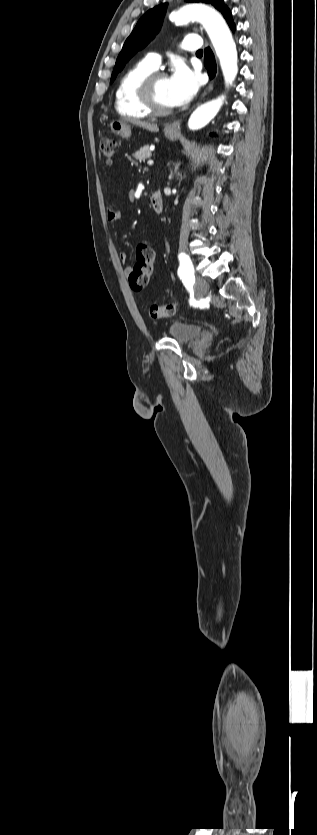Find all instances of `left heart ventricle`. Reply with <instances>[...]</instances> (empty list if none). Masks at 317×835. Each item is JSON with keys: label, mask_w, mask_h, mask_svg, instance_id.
<instances>
[{"label": "left heart ventricle", "mask_w": 317, "mask_h": 835, "mask_svg": "<svg viewBox=\"0 0 317 835\" xmlns=\"http://www.w3.org/2000/svg\"><path fill=\"white\" fill-rule=\"evenodd\" d=\"M155 93H156V98H157V101L159 102V104H161L164 107H172L173 106L172 103H171L170 97H169L168 79L167 78H161L157 81L156 87H155Z\"/></svg>", "instance_id": "left-heart-ventricle-1"}]
</instances>
